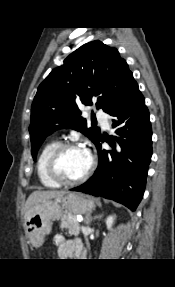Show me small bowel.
<instances>
[{"label":"small bowel","instance_id":"small-bowel-1","mask_svg":"<svg viewBox=\"0 0 175 287\" xmlns=\"http://www.w3.org/2000/svg\"><path fill=\"white\" fill-rule=\"evenodd\" d=\"M53 242L57 246V254L60 259H68L73 255L76 257L83 255L78 240H66L62 235L57 234L54 236Z\"/></svg>","mask_w":175,"mask_h":287}]
</instances>
